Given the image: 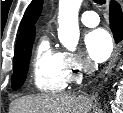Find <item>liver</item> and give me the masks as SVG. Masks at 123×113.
<instances>
[{"label": "liver", "mask_w": 123, "mask_h": 113, "mask_svg": "<svg viewBox=\"0 0 123 113\" xmlns=\"http://www.w3.org/2000/svg\"><path fill=\"white\" fill-rule=\"evenodd\" d=\"M92 101L72 93L21 97L13 102L12 113H88Z\"/></svg>", "instance_id": "6515ba94"}]
</instances>
